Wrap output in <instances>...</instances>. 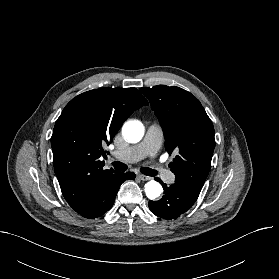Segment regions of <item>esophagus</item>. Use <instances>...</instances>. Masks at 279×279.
Masks as SVG:
<instances>
[{
    "label": "esophagus",
    "mask_w": 279,
    "mask_h": 279,
    "mask_svg": "<svg viewBox=\"0 0 279 279\" xmlns=\"http://www.w3.org/2000/svg\"><path fill=\"white\" fill-rule=\"evenodd\" d=\"M138 178L141 179L142 181H148L151 179V177L142 174H139Z\"/></svg>",
    "instance_id": "obj_1"
}]
</instances>
